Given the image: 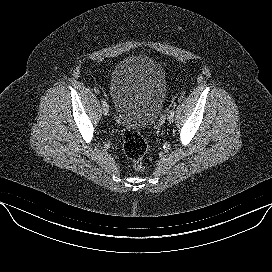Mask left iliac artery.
Here are the masks:
<instances>
[{
  "label": "left iliac artery",
  "mask_w": 272,
  "mask_h": 272,
  "mask_svg": "<svg viewBox=\"0 0 272 272\" xmlns=\"http://www.w3.org/2000/svg\"><path fill=\"white\" fill-rule=\"evenodd\" d=\"M169 113H170L171 115H174V113H175L174 109L170 110Z\"/></svg>",
  "instance_id": "1"
}]
</instances>
